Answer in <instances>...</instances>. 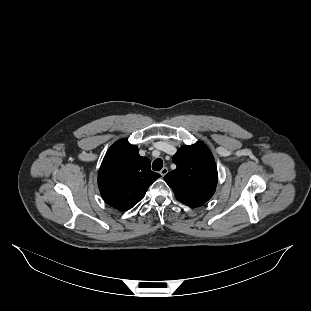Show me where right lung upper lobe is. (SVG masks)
<instances>
[{
    "label": "right lung upper lobe",
    "instance_id": "1",
    "mask_svg": "<svg viewBox=\"0 0 311 311\" xmlns=\"http://www.w3.org/2000/svg\"><path fill=\"white\" fill-rule=\"evenodd\" d=\"M151 171L150 160L138 153L125 139L107 151L98 173L101 196L110 206L126 211L135 206L149 186L160 177Z\"/></svg>",
    "mask_w": 311,
    "mask_h": 311
}]
</instances>
